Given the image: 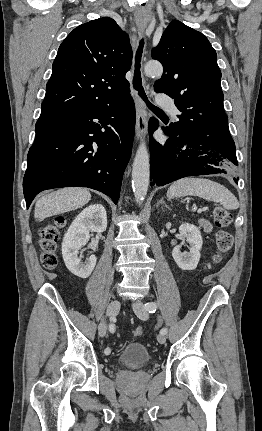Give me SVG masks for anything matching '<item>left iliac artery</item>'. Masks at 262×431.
Wrapping results in <instances>:
<instances>
[{"mask_svg":"<svg viewBox=\"0 0 262 431\" xmlns=\"http://www.w3.org/2000/svg\"><path fill=\"white\" fill-rule=\"evenodd\" d=\"M145 308L149 313H154L157 309V304L155 302H148L145 304ZM161 334H167V329L163 328L160 331Z\"/></svg>","mask_w":262,"mask_h":431,"instance_id":"44dca946","label":"left iliac artery"}]
</instances>
